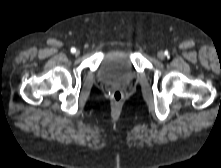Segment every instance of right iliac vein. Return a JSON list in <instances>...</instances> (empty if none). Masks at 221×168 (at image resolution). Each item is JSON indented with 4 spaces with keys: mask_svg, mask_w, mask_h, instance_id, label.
Segmentation results:
<instances>
[{
    "mask_svg": "<svg viewBox=\"0 0 221 168\" xmlns=\"http://www.w3.org/2000/svg\"><path fill=\"white\" fill-rule=\"evenodd\" d=\"M75 54H76V55H79V54H80V51H79V50H77V51L75 52Z\"/></svg>",
    "mask_w": 221,
    "mask_h": 168,
    "instance_id": "1",
    "label": "right iliac vein"
}]
</instances>
